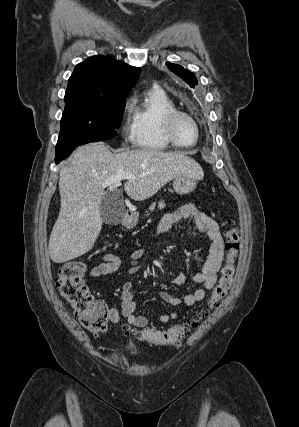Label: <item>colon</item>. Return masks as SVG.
Returning a JSON list of instances; mask_svg holds the SVG:
<instances>
[{"label":"colon","instance_id":"5ec220e1","mask_svg":"<svg viewBox=\"0 0 299 427\" xmlns=\"http://www.w3.org/2000/svg\"><path fill=\"white\" fill-rule=\"evenodd\" d=\"M226 239V261L221 269L220 278L208 298L205 307L200 309L188 320L174 325L166 330L144 328L134 331V335L143 341L156 345L179 344L191 330L199 326L209 317L212 309L226 297L231 288L235 274V259L239 252V232L233 221H228L224 231ZM85 265L81 261L66 262L59 270L57 286L61 296L70 305L81 325L98 335L105 331L108 322V308L99 300L93 298L90 290L83 281Z\"/></svg>","mask_w":299,"mask_h":427}]
</instances>
